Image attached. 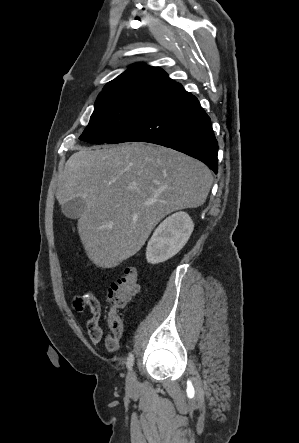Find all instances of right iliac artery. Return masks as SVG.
<instances>
[{
    "label": "right iliac artery",
    "mask_w": 299,
    "mask_h": 443,
    "mask_svg": "<svg viewBox=\"0 0 299 443\" xmlns=\"http://www.w3.org/2000/svg\"><path fill=\"white\" fill-rule=\"evenodd\" d=\"M133 362H134V356H133V354H130L127 358V368L128 369L132 368Z\"/></svg>",
    "instance_id": "1"
}]
</instances>
